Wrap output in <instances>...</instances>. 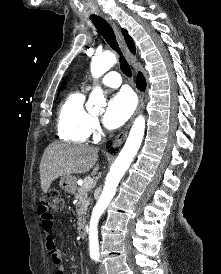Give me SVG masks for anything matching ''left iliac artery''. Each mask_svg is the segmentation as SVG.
<instances>
[{"mask_svg":"<svg viewBox=\"0 0 221 274\" xmlns=\"http://www.w3.org/2000/svg\"><path fill=\"white\" fill-rule=\"evenodd\" d=\"M93 259H95L96 261H98L99 256H98V255H95V256H93Z\"/></svg>","mask_w":221,"mask_h":274,"instance_id":"left-iliac-artery-1","label":"left iliac artery"}]
</instances>
